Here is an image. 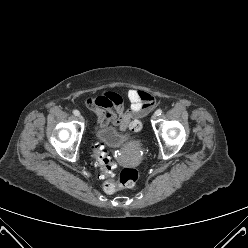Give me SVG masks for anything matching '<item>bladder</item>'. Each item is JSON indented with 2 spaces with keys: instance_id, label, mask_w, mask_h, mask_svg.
<instances>
[{
  "instance_id": "31cf9c89",
  "label": "bladder",
  "mask_w": 248,
  "mask_h": 248,
  "mask_svg": "<svg viewBox=\"0 0 248 248\" xmlns=\"http://www.w3.org/2000/svg\"><path fill=\"white\" fill-rule=\"evenodd\" d=\"M97 139L110 147H121L128 139V135L121 133L111 125L98 127L96 130Z\"/></svg>"
}]
</instances>
